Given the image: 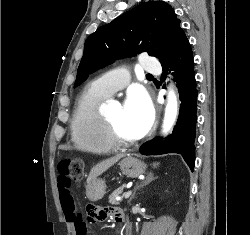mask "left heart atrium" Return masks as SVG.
I'll return each mask as SVG.
<instances>
[{
	"label": "left heart atrium",
	"mask_w": 250,
	"mask_h": 235,
	"mask_svg": "<svg viewBox=\"0 0 250 235\" xmlns=\"http://www.w3.org/2000/svg\"><path fill=\"white\" fill-rule=\"evenodd\" d=\"M125 114L138 137L150 129L154 120V110L148 95L143 90H131L124 104Z\"/></svg>",
	"instance_id": "1"
}]
</instances>
